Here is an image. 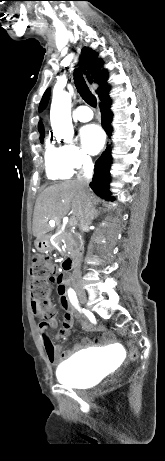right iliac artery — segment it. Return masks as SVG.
I'll use <instances>...</instances> for the list:
<instances>
[{
	"label": "right iliac artery",
	"mask_w": 165,
	"mask_h": 461,
	"mask_svg": "<svg viewBox=\"0 0 165 461\" xmlns=\"http://www.w3.org/2000/svg\"><path fill=\"white\" fill-rule=\"evenodd\" d=\"M68 296H69V298H70L72 304H73L74 306H76L79 310H81L80 307H79V305H78V300H77L75 291L72 290V289H69V290H68Z\"/></svg>",
	"instance_id": "right-iliac-artery-1"
}]
</instances>
